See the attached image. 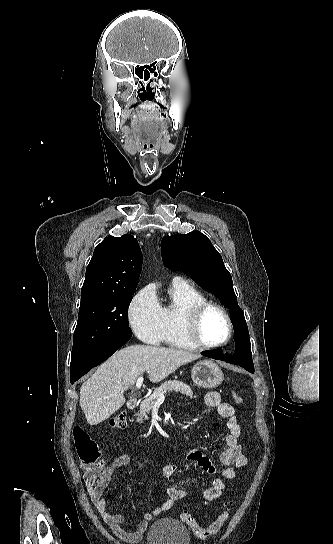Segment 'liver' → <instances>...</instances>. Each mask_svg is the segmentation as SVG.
Returning a JSON list of instances; mask_svg holds the SVG:
<instances>
[{"label":"liver","instance_id":"1","mask_svg":"<svg viewBox=\"0 0 333 544\" xmlns=\"http://www.w3.org/2000/svg\"><path fill=\"white\" fill-rule=\"evenodd\" d=\"M199 354L174 348L132 345L117 351L82 384L80 406L90 425L107 420L124 403V391L145 371L151 382L164 380Z\"/></svg>","mask_w":333,"mask_h":544}]
</instances>
